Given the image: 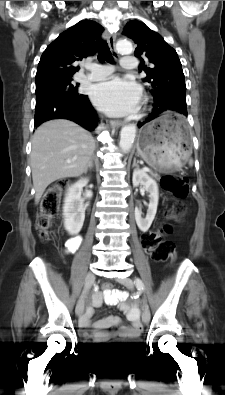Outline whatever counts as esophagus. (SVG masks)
<instances>
[{
    "label": "esophagus",
    "instance_id": "obj_1",
    "mask_svg": "<svg viewBox=\"0 0 225 395\" xmlns=\"http://www.w3.org/2000/svg\"><path fill=\"white\" fill-rule=\"evenodd\" d=\"M104 36H105V38L107 40V43H108L111 51L115 53V40H116L115 35L114 34H110L109 32L105 31L104 32ZM123 124H124V122L121 121V120H112L111 121V125L113 127H119V126H122Z\"/></svg>",
    "mask_w": 225,
    "mask_h": 395
}]
</instances>
